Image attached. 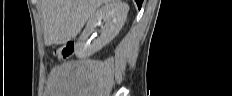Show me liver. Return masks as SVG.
I'll return each mask as SVG.
<instances>
[{
  "label": "liver",
  "instance_id": "liver-1",
  "mask_svg": "<svg viewBox=\"0 0 232 96\" xmlns=\"http://www.w3.org/2000/svg\"><path fill=\"white\" fill-rule=\"evenodd\" d=\"M110 0H40L46 45L75 38L96 9Z\"/></svg>",
  "mask_w": 232,
  "mask_h": 96
}]
</instances>
